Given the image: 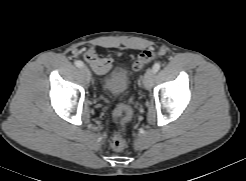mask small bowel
Here are the masks:
<instances>
[{
	"mask_svg": "<svg viewBox=\"0 0 246 181\" xmlns=\"http://www.w3.org/2000/svg\"><path fill=\"white\" fill-rule=\"evenodd\" d=\"M84 59L93 71L100 76L106 75L113 67V60L110 57L98 56L93 50L86 51Z\"/></svg>",
	"mask_w": 246,
	"mask_h": 181,
	"instance_id": "obj_1",
	"label": "small bowel"
}]
</instances>
